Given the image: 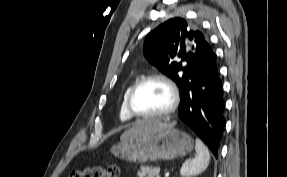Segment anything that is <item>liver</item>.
Returning a JSON list of instances; mask_svg holds the SVG:
<instances>
[{
  "instance_id": "liver-1",
  "label": "liver",
  "mask_w": 287,
  "mask_h": 177,
  "mask_svg": "<svg viewBox=\"0 0 287 177\" xmlns=\"http://www.w3.org/2000/svg\"><path fill=\"white\" fill-rule=\"evenodd\" d=\"M174 125H175V122L168 124V123H163L159 120L140 121L137 124H135L132 128L124 132L121 136V139H126L129 137L146 134L149 132L162 129L164 127H172Z\"/></svg>"
}]
</instances>
